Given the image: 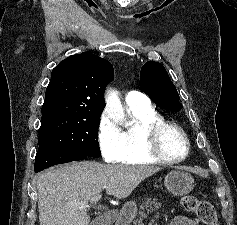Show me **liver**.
Segmentation results:
<instances>
[{"mask_svg":"<svg viewBox=\"0 0 237 225\" xmlns=\"http://www.w3.org/2000/svg\"><path fill=\"white\" fill-rule=\"evenodd\" d=\"M153 166L72 162L43 172L37 178L40 225H89L87 206L106 189L118 199L128 197L138 184L158 172Z\"/></svg>","mask_w":237,"mask_h":225,"instance_id":"6515ba94","label":"liver"}]
</instances>
